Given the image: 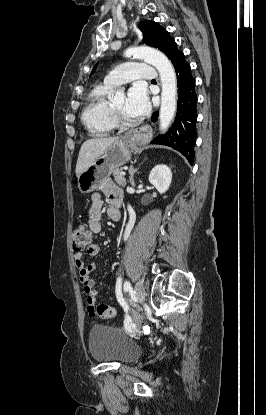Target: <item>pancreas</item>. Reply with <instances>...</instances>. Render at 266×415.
Returning a JSON list of instances; mask_svg holds the SVG:
<instances>
[{"instance_id":"cf45deb5","label":"pancreas","mask_w":266,"mask_h":415,"mask_svg":"<svg viewBox=\"0 0 266 415\" xmlns=\"http://www.w3.org/2000/svg\"><path fill=\"white\" fill-rule=\"evenodd\" d=\"M121 172H123L122 168H117L113 171V176H114V179H115L116 183L119 186L124 188L127 183H126V179H125L124 175H121Z\"/></svg>"}]
</instances>
